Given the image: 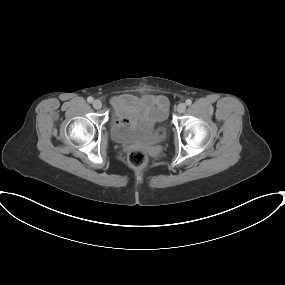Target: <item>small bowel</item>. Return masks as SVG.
Instances as JSON below:
<instances>
[{
	"mask_svg": "<svg viewBox=\"0 0 285 285\" xmlns=\"http://www.w3.org/2000/svg\"><path fill=\"white\" fill-rule=\"evenodd\" d=\"M120 118L125 123L156 121L160 110H168V100L161 95L147 94L142 97L122 95L115 99Z\"/></svg>",
	"mask_w": 285,
	"mask_h": 285,
	"instance_id": "obj_1",
	"label": "small bowel"
}]
</instances>
